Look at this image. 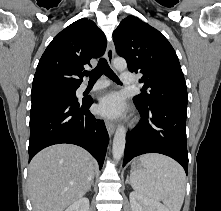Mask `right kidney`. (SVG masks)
I'll use <instances>...</instances> for the list:
<instances>
[{"label": "right kidney", "mask_w": 221, "mask_h": 211, "mask_svg": "<svg viewBox=\"0 0 221 211\" xmlns=\"http://www.w3.org/2000/svg\"><path fill=\"white\" fill-rule=\"evenodd\" d=\"M65 211H89L88 198H80L70 205Z\"/></svg>", "instance_id": "right-kidney-1"}]
</instances>
